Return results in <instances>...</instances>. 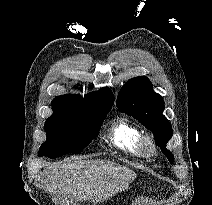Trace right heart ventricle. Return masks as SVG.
<instances>
[{"label": "right heart ventricle", "instance_id": "right-heart-ventricle-1", "mask_svg": "<svg viewBox=\"0 0 212 205\" xmlns=\"http://www.w3.org/2000/svg\"><path fill=\"white\" fill-rule=\"evenodd\" d=\"M108 139L119 150L136 154L139 151V133L137 129L125 119H118L112 123Z\"/></svg>", "mask_w": 212, "mask_h": 205}]
</instances>
